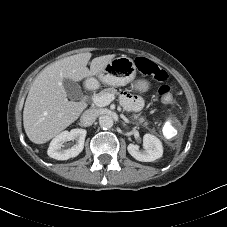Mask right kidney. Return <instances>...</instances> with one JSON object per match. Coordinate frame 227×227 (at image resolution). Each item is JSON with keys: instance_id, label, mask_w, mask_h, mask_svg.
<instances>
[{"instance_id": "obj_1", "label": "right kidney", "mask_w": 227, "mask_h": 227, "mask_svg": "<svg viewBox=\"0 0 227 227\" xmlns=\"http://www.w3.org/2000/svg\"><path fill=\"white\" fill-rule=\"evenodd\" d=\"M87 131L85 129H72L63 131L50 142L47 154L57 160H68L76 157L84 148V142ZM76 140V144L68 149H63L64 143Z\"/></svg>"}]
</instances>
